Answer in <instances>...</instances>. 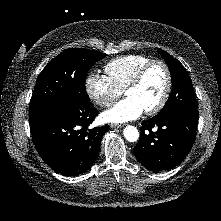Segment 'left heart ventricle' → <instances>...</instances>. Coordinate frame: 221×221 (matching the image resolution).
Listing matches in <instances>:
<instances>
[{"label":"left heart ventricle","mask_w":221,"mask_h":221,"mask_svg":"<svg viewBox=\"0 0 221 221\" xmlns=\"http://www.w3.org/2000/svg\"><path fill=\"white\" fill-rule=\"evenodd\" d=\"M165 85V72L161 66L155 65L145 74L139 85L130 89L126 95L135 99L145 111L158 103Z\"/></svg>","instance_id":"left-heart-ventricle-1"}]
</instances>
